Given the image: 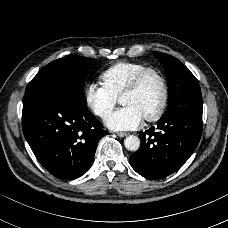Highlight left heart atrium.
<instances>
[{
  "mask_svg": "<svg viewBox=\"0 0 228 228\" xmlns=\"http://www.w3.org/2000/svg\"><path fill=\"white\" fill-rule=\"evenodd\" d=\"M144 117L132 106H125L109 113L104 122L112 130H133L138 128Z\"/></svg>",
  "mask_w": 228,
  "mask_h": 228,
  "instance_id": "left-heart-atrium-1",
  "label": "left heart atrium"
}]
</instances>
